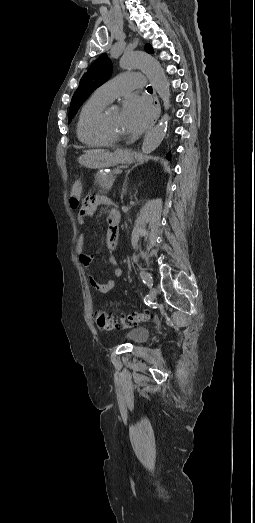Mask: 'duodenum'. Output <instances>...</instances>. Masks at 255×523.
Instances as JSON below:
<instances>
[{"label": "duodenum", "instance_id": "410a0bca", "mask_svg": "<svg viewBox=\"0 0 255 523\" xmlns=\"http://www.w3.org/2000/svg\"><path fill=\"white\" fill-rule=\"evenodd\" d=\"M120 218H121V215H120V211L118 210V208H113L109 212L108 217H107V223H108L109 228L116 229L120 223Z\"/></svg>", "mask_w": 255, "mask_h": 523}]
</instances>
